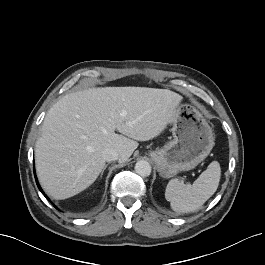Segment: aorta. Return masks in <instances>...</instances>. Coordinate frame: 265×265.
I'll return each instance as SVG.
<instances>
[{"label":"aorta","mask_w":265,"mask_h":265,"mask_svg":"<svg viewBox=\"0 0 265 265\" xmlns=\"http://www.w3.org/2000/svg\"><path fill=\"white\" fill-rule=\"evenodd\" d=\"M151 171L152 167L150 163L145 160H140L135 164V172L142 177L149 176Z\"/></svg>","instance_id":"aorta-1"}]
</instances>
